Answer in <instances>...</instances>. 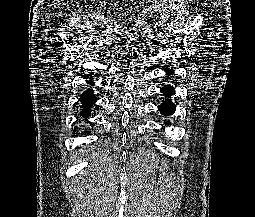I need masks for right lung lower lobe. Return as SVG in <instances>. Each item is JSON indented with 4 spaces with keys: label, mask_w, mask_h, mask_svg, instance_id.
I'll list each match as a JSON object with an SVG mask.
<instances>
[{
    "label": "right lung lower lobe",
    "mask_w": 255,
    "mask_h": 217,
    "mask_svg": "<svg viewBox=\"0 0 255 217\" xmlns=\"http://www.w3.org/2000/svg\"><path fill=\"white\" fill-rule=\"evenodd\" d=\"M88 84L92 86L94 83L90 80L88 81ZM80 101L83 105L81 115H83V117L86 118L90 114V107L96 102V97L93 94L92 90L88 89L87 91L81 94Z\"/></svg>",
    "instance_id": "1"
}]
</instances>
